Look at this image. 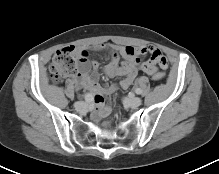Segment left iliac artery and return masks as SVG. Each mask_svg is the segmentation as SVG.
I'll use <instances>...</instances> for the list:
<instances>
[{"mask_svg":"<svg viewBox=\"0 0 219 174\" xmlns=\"http://www.w3.org/2000/svg\"><path fill=\"white\" fill-rule=\"evenodd\" d=\"M135 92H136L137 94H141V93H142V90H141L140 88H137V89L135 90Z\"/></svg>","mask_w":219,"mask_h":174,"instance_id":"1","label":"left iliac artery"}]
</instances>
